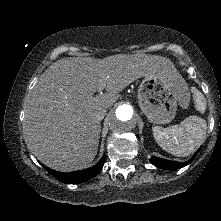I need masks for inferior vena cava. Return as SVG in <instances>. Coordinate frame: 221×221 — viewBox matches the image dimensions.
I'll return each instance as SVG.
<instances>
[{
  "label": "inferior vena cava",
  "mask_w": 221,
  "mask_h": 221,
  "mask_svg": "<svg viewBox=\"0 0 221 221\" xmlns=\"http://www.w3.org/2000/svg\"><path fill=\"white\" fill-rule=\"evenodd\" d=\"M105 115H106V109H102L97 113L96 119L101 121Z\"/></svg>",
  "instance_id": "602c4592"
}]
</instances>
